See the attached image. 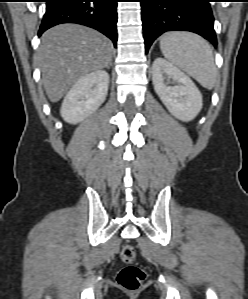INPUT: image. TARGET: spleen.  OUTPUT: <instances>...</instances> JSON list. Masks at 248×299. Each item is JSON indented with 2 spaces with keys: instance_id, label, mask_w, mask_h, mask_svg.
Segmentation results:
<instances>
[{
  "instance_id": "obj_1",
  "label": "spleen",
  "mask_w": 248,
  "mask_h": 299,
  "mask_svg": "<svg viewBox=\"0 0 248 299\" xmlns=\"http://www.w3.org/2000/svg\"><path fill=\"white\" fill-rule=\"evenodd\" d=\"M164 57L203 87H214L217 71L209 43L194 33L168 32L160 40Z\"/></svg>"
}]
</instances>
